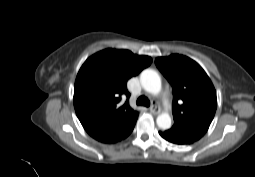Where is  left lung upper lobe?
Returning a JSON list of instances; mask_svg holds the SVG:
<instances>
[{
  "mask_svg": "<svg viewBox=\"0 0 255 177\" xmlns=\"http://www.w3.org/2000/svg\"><path fill=\"white\" fill-rule=\"evenodd\" d=\"M157 68L172 85L174 125L172 133L199 140L208 130L217 108L215 88L194 60L179 54L158 57Z\"/></svg>",
  "mask_w": 255,
  "mask_h": 177,
  "instance_id": "5c2ea615",
  "label": "left lung upper lobe"
}]
</instances>
